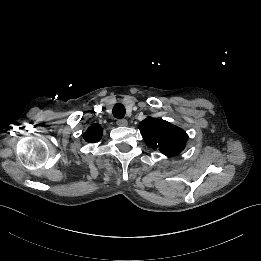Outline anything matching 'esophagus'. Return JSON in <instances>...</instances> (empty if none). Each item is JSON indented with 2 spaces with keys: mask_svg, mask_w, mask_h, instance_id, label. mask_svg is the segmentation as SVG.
I'll return each mask as SVG.
<instances>
[{
  "mask_svg": "<svg viewBox=\"0 0 261 261\" xmlns=\"http://www.w3.org/2000/svg\"><path fill=\"white\" fill-rule=\"evenodd\" d=\"M116 123L118 126H122V127H125L128 125V121L126 119H119V120H117Z\"/></svg>",
  "mask_w": 261,
  "mask_h": 261,
  "instance_id": "1",
  "label": "esophagus"
}]
</instances>
